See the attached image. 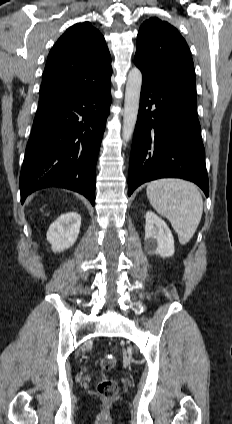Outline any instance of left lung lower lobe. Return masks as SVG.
Wrapping results in <instances>:
<instances>
[{
	"mask_svg": "<svg viewBox=\"0 0 232 424\" xmlns=\"http://www.w3.org/2000/svg\"><path fill=\"white\" fill-rule=\"evenodd\" d=\"M164 177L190 180L208 197L196 88L187 82L143 81L130 156L128 195L142 183Z\"/></svg>",
	"mask_w": 232,
	"mask_h": 424,
	"instance_id": "obj_1",
	"label": "left lung lower lobe"
}]
</instances>
